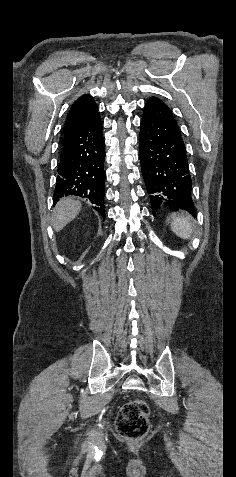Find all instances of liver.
Segmentation results:
<instances>
[{"instance_id": "1", "label": "liver", "mask_w": 236, "mask_h": 477, "mask_svg": "<svg viewBox=\"0 0 236 477\" xmlns=\"http://www.w3.org/2000/svg\"><path fill=\"white\" fill-rule=\"evenodd\" d=\"M81 203L72 198H63L59 200L53 210L52 226L56 232L62 230L71 222L81 211Z\"/></svg>"}]
</instances>
